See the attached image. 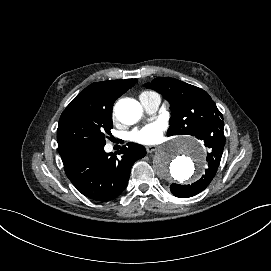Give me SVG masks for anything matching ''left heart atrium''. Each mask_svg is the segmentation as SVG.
Returning a JSON list of instances; mask_svg holds the SVG:
<instances>
[{
    "label": "left heart atrium",
    "mask_w": 271,
    "mask_h": 271,
    "mask_svg": "<svg viewBox=\"0 0 271 271\" xmlns=\"http://www.w3.org/2000/svg\"><path fill=\"white\" fill-rule=\"evenodd\" d=\"M164 129L162 122H154L132 133L131 138L141 144H156L162 139Z\"/></svg>",
    "instance_id": "obj_1"
}]
</instances>
